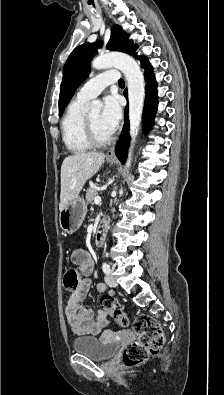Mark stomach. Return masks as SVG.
I'll return each instance as SVG.
<instances>
[{"instance_id":"1","label":"stomach","mask_w":224,"mask_h":395,"mask_svg":"<svg viewBox=\"0 0 224 395\" xmlns=\"http://www.w3.org/2000/svg\"><path fill=\"white\" fill-rule=\"evenodd\" d=\"M112 163V162H111ZM87 213V204L81 197L71 201L59 214L62 230L73 233L79 229Z\"/></svg>"}]
</instances>
